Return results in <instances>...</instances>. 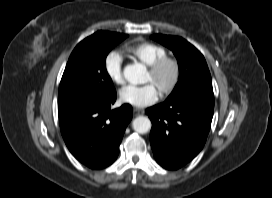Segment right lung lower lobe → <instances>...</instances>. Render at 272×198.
<instances>
[{
    "mask_svg": "<svg viewBox=\"0 0 272 198\" xmlns=\"http://www.w3.org/2000/svg\"><path fill=\"white\" fill-rule=\"evenodd\" d=\"M116 94L104 100H81L58 106L63 139L76 159L93 169L112 164L119 153L132 107L111 110Z\"/></svg>",
    "mask_w": 272,
    "mask_h": 198,
    "instance_id": "1",
    "label": "right lung lower lobe"
}]
</instances>
